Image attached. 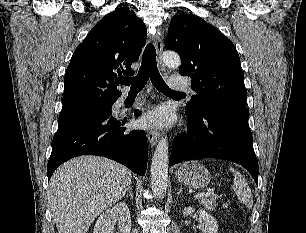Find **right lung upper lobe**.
<instances>
[{
	"mask_svg": "<svg viewBox=\"0 0 306 233\" xmlns=\"http://www.w3.org/2000/svg\"><path fill=\"white\" fill-rule=\"evenodd\" d=\"M146 26L135 12L119 8L102 18L76 48L64 78L63 105L116 101L118 75H133L131 64L146 42Z\"/></svg>",
	"mask_w": 306,
	"mask_h": 233,
	"instance_id": "right-lung-upper-lobe-1",
	"label": "right lung upper lobe"
}]
</instances>
